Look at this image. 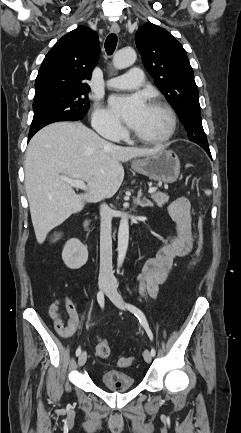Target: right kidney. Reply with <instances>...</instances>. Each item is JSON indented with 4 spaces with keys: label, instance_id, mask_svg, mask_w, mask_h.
Masks as SVG:
<instances>
[{
    "label": "right kidney",
    "instance_id": "right-kidney-1",
    "mask_svg": "<svg viewBox=\"0 0 241 433\" xmlns=\"http://www.w3.org/2000/svg\"><path fill=\"white\" fill-rule=\"evenodd\" d=\"M62 259L69 269H79L88 260V250L80 240L72 238L67 241L62 252Z\"/></svg>",
    "mask_w": 241,
    "mask_h": 433
}]
</instances>
